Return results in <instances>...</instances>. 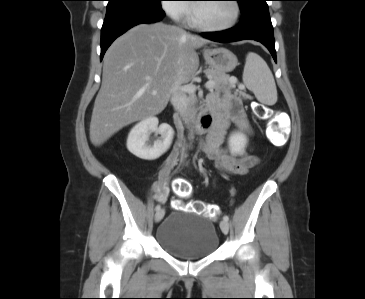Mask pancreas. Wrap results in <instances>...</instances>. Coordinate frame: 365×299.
<instances>
[{
  "instance_id": "pancreas-1",
  "label": "pancreas",
  "mask_w": 365,
  "mask_h": 299,
  "mask_svg": "<svg viewBox=\"0 0 365 299\" xmlns=\"http://www.w3.org/2000/svg\"><path fill=\"white\" fill-rule=\"evenodd\" d=\"M205 74L208 78L215 82L214 89L217 91H230L232 85L230 84V77L222 72H218L214 69H206ZM239 95L243 98H249L244 92H239ZM196 97L191 95L189 97V107L184 116L185 119L193 118L197 113V108L195 107Z\"/></svg>"
}]
</instances>
